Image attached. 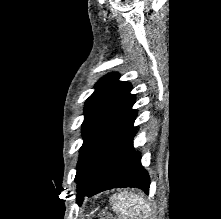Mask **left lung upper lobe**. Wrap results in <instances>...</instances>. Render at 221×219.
<instances>
[{
    "label": "left lung upper lobe",
    "instance_id": "left-lung-upper-lobe-1",
    "mask_svg": "<svg viewBox=\"0 0 221 219\" xmlns=\"http://www.w3.org/2000/svg\"><path fill=\"white\" fill-rule=\"evenodd\" d=\"M118 78L117 73H110L100 79L95 85L96 90L85 103L82 124L84 143L80 148L76 180L98 143L135 102V96L130 94L131 85Z\"/></svg>",
    "mask_w": 221,
    "mask_h": 219
}]
</instances>
